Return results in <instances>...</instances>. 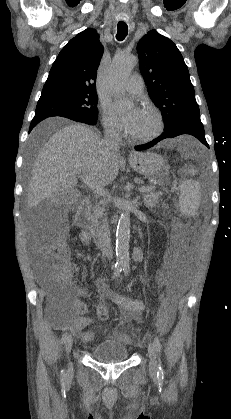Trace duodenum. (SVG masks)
<instances>
[{
    "instance_id": "410a0bca",
    "label": "duodenum",
    "mask_w": 231,
    "mask_h": 419,
    "mask_svg": "<svg viewBox=\"0 0 231 419\" xmlns=\"http://www.w3.org/2000/svg\"><path fill=\"white\" fill-rule=\"evenodd\" d=\"M91 203L89 199H84L76 210L75 220L77 226L82 230L83 235L89 240L94 238L99 243L104 237V229L97 225L90 212Z\"/></svg>"
}]
</instances>
